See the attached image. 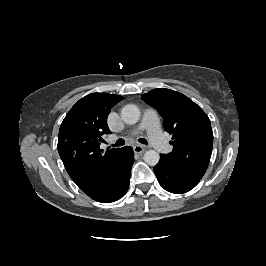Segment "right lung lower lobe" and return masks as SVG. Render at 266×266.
<instances>
[{"label":"right lung lower lobe","instance_id":"98d812e1","mask_svg":"<svg viewBox=\"0 0 266 266\" xmlns=\"http://www.w3.org/2000/svg\"><path fill=\"white\" fill-rule=\"evenodd\" d=\"M134 163L132 147L121 148L115 159L106 182L91 198L98 202L109 203L123 197L128 190L131 168Z\"/></svg>","mask_w":266,"mask_h":266}]
</instances>
